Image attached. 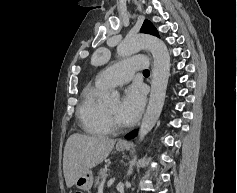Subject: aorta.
Masks as SVG:
<instances>
[{
    "mask_svg": "<svg viewBox=\"0 0 237 193\" xmlns=\"http://www.w3.org/2000/svg\"><path fill=\"white\" fill-rule=\"evenodd\" d=\"M142 49L151 52L154 60L152 71L151 93L149 103L142 119L138 137L142 141L158 121L166 96L168 79L170 76V55L165 43L159 38L149 34L128 35L118 46L120 57H127ZM118 92H113L111 99H118ZM136 157L130 161L127 176L133 172Z\"/></svg>",
    "mask_w": 237,
    "mask_h": 193,
    "instance_id": "aorta-1",
    "label": "aorta"
}]
</instances>
